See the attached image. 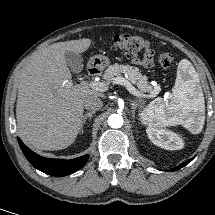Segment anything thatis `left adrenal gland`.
Here are the masks:
<instances>
[{
	"label": "left adrenal gland",
	"mask_w": 215,
	"mask_h": 215,
	"mask_svg": "<svg viewBox=\"0 0 215 215\" xmlns=\"http://www.w3.org/2000/svg\"><path fill=\"white\" fill-rule=\"evenodd\" d=\"M140 103H141V100H138V99L130 100L133 115L135 114V110L140 106Z\"/></svg>",
	"instance_id": "left-adrenal-gland-1"
}]
</instances>
